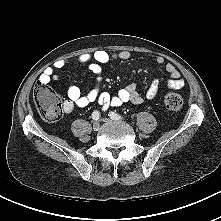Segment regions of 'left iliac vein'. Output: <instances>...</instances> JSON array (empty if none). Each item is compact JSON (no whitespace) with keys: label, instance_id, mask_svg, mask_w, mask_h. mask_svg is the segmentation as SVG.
Here are the masks:
<instances>
[{"label":"left iliac vein","instance_id":"obj_1","mask_svg":"<svg viewBox=\"0 0 221 221\" xmlns=\"http://www.w3.org/2000/svg\"><path fill=\"white\" fill-rule=\"evenodd\" d=\"M104 122H111V121H113L112 119H109V118H103L102 119Z\"/></svg>","mask_w":221,"mask_h":221}]
</instances>
